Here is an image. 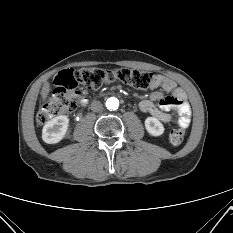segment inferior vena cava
<instances>
[{"instance_id": "1", "label": "inferior vena cava", "mask_w": 233, "mask_h": 233, "mask_svg": "<svg viewBox=\"0 0 233 233\" xmlns=\"http://www.w3.org/2000/svg\"><path fill=\"white\" fill-rule=\"evenodd\" d=\"M91 110L94 111V112H98V111H101L103 109V105L100 101H93L91 103Z\"/></svg>"}]
</instances>
